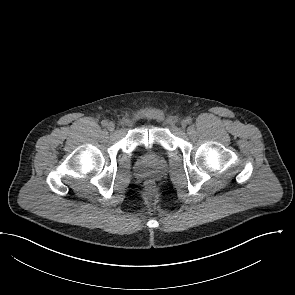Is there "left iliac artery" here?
<instances>
[{"label":"left iliac artery","instance_id":"left-iliac-artery-1","mask_svg":"<svg viewBox=\"0 0 295 295\" xmlns=\"http://www.w3.org/2000/svg\"><path fill=\"white\" fill-rule=\"evenodd\" d=\"M186 121H187L188 124H191L192 123V118L191 117H187L186 118Z\"/></svg>","mask_w":295,"mask_h":295}]
</instances>
